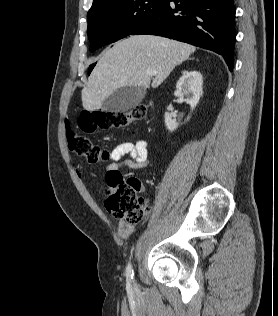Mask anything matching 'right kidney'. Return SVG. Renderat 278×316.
Listing matches in <instances>:
<instances>
[{"instance_id": "1", "label": "right kidney", "mask_w": 278, "mask_h": 316, "mask_svg": "<svg viewBox=\"0 0 278 316\" xmlns=\"http://www.w3.org/2000/svg\"><path fill=\"white\" fill-rule=\"evenodd\" d=\"M203 77L198 71H183L182 76L176 84L175 96L185 97V101L193 110L198 104L203 93ZM165 125L169 131H174L178 127L175 119L169 113H165ZM187 117V121L189 120Z\"/></svg>"}]
</instances>
